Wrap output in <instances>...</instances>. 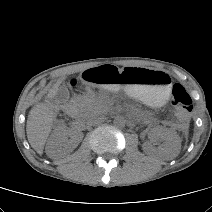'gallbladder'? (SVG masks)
<instances>
[{"label":"gallbladder","instance_id":"bac80fb5","mask_svg":"<svg viewBox=\"0 0 212 212\" xmlns=\"http://www.w3.org/2000/svg\"><path fill=\"white\" fill-rule=\"evenodd\" d=\"M69 98V91L66 88L60 87L54 96L57 103H64Z\"/></svg>","mask_w":212,"mask_h":212}]
</instances>
